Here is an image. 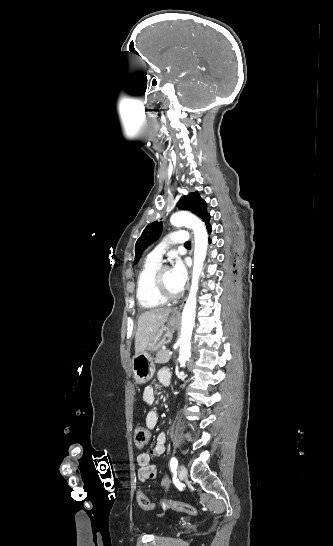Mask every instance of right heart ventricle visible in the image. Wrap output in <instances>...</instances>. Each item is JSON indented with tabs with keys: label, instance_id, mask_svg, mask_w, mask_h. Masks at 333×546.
<instances>
[{
	"label": "right heart ventricle",
	"instance_id": "1",
	"mask_svg": "<svg viewBox=\"0 0 333 546\" xmlns=\"http://www.w3.org/2000/svg\"><path fill=\"white\" fill-rule=\"evenodd\" d=\"M159 267L160 262L147 258L139 272L136 297L142 308L153 309L166 303V301L155 294L153 289V277Z\"/></svg>",
	"mask_w": 333,
	"mask_h": 546
}]
</instances>
